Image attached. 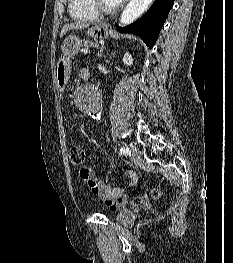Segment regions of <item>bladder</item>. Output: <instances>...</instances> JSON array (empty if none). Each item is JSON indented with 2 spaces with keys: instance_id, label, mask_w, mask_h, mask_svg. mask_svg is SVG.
<instances>
[{
  "instance_id": "bladder-1",
  "label": "bladder",
  "mask_w": 233,
  "mask_h": 263,
  "mask_svg": "<svg viewBox=\"0 0 233 263\" xmlns=\"http://www.w3.org/2000/svg\"><path fill=\"white\" fill-rule=\"evenodd\" d=\"M136 213L132 210L122 209L115 215V220L125 226H128L134 222Z\"/></svg>"
}]
</instances>
